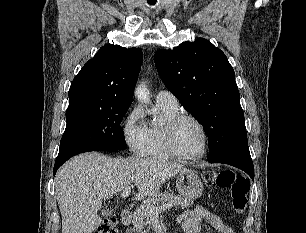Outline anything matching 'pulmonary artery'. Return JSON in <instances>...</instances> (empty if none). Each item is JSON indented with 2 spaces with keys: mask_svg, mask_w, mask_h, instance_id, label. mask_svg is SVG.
Returning <instances> with one entry per match:
<instances>
[{
  "mask_svg": "<svg viewBox=\"0 0 306 233\" xmlns=\"http://www.w3.org/2000/svg\"><path fill=\"white\" fill-rule=\"evenodd\" d=\"M157 104L165 105L171 108H178L177 98L167 90H161L156 94Z\"/></svg>",
  "mask_w": 306,
  "mask_h": 233,
  "instance_id": "1",
  "label": "pulmonary artery"
}]
</instances>
